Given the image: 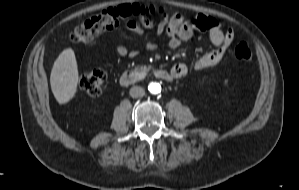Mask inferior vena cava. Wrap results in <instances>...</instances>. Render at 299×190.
Segmentation results:
<instances>
[{
  "mask_svg": "<svg viewBox=\"0 0 299 190\" xmlns=\"http://www.w3.org/2000/svg\"><path fill=\"white\" fill-rule=\"evenodd\" d=\"M145 95V90L140 86H134L130 89V96L133 98L143 97Z\"/></svg>",
  "mask_w": 299,
  "mask_h": 190,
  "instance_id": "inferior-vena-cava-1",
  "label": "inferior vena cava"
}]
</instances>
